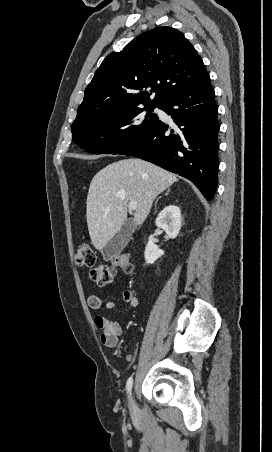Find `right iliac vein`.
<instances>
[{
  "label": "right iliac vein",
  "mask_w": 272,
  "mask_h": 452,
  "mask_svg": "<svg viewBox=\"0 0 272 452\" xmlns=\"http://www.w3.org/2000/svg\"><path fill=\"white\" fill-rule=\"evenodd\" d=\"M129 402H130V410H131V413H132V414H135V413H136V403H135V400H134L133 395L130 396Z\"/></svg>",
  "instance_id": "63e3f726"
}]
</instances>
